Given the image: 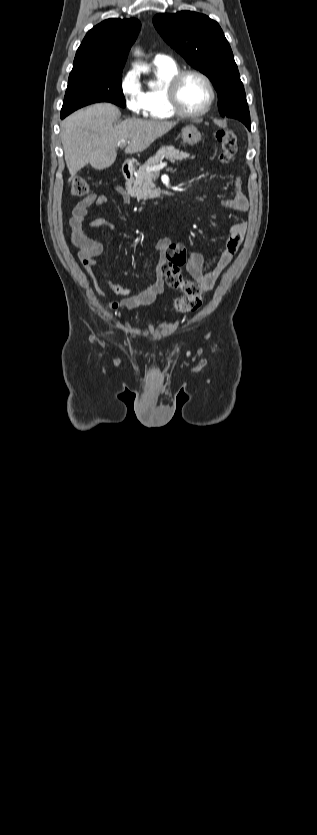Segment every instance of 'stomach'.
I'll return each mask as SVG.
<instances>
[{
    "label": "stomach",
    "mask_w": 317,
    "mask_h": 835,
    "mask_svg": "<svg viewBox=\"0 0 317 835\" xmlns=\"http://www.w3.org/2000/svg\"><path fill=\"white\" fill-rule=\"evenodd\" d=\"M181 136L188 145H195L201 140V133L194 125H187L182 128Z\"/></svg>",
    "instance_id": "obj_1"
}]
</instances>
